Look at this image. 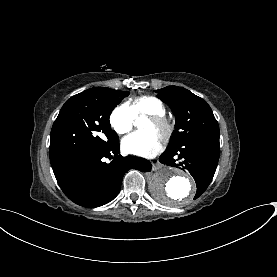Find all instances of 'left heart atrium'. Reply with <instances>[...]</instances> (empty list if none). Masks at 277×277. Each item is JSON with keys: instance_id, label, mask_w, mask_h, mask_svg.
<instances>
[{"instance_id": "1", "label": "left heart atrium", "mask_w": 277, "mask_h": 277, "mask_svg": "<svg viewBox=\"0 0 277 277\" xmlns=\"http://www.w3.org/2000/svg\"><path fill=\"white\" fill-rule=\"evenodd\" d=\"M121 145L126 152L150 157L161 149L162 141L157 134L144 131L125 137Z\"/></svg>"}]
</instances>
